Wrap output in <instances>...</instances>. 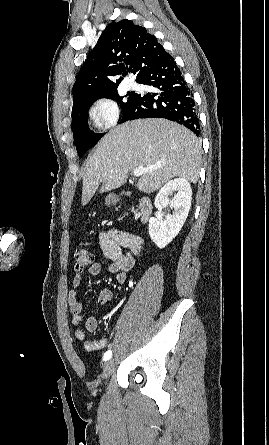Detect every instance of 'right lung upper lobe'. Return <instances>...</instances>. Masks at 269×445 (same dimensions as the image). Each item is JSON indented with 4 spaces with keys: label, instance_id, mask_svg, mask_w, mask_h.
Returning <instances> with one entry per match:
<instances>
[{
    "label": "right lung upper lobe",
    "instance_id": "1",
    "mask_svg": "<svg viewBox=\"0 0 269 445\" xmlns=\"http://www.w3.org/2000/svg\"><path fill=\"white\" fill-rule=\"evenodd\" d=\"M168 55L143 26L127 19L109 24L77 76L73 86V107L117 90L123 78L116 83L111 78L124 76L127 69L137 73L138 82L144 72Z\"/></svg>",
    "mask_w": 269,
    "mask_h": 445
}]
</instances>
